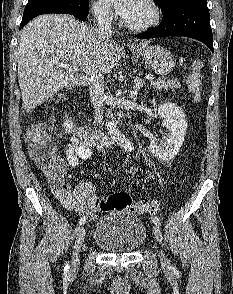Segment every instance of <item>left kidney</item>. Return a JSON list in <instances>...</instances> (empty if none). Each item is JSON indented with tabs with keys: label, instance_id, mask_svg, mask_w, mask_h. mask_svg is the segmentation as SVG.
Listing matches in <instances>:
<instances>
[{
	"label": "left kidney",
	"instance_id": "1",
	"mask_svg": "<svg viewBox=\"0 0 233 294\" xmlns=\"http://www.w3.org/2000/svg\"><path fill=\"white\" fill-rule=\"evenodd\" d=\"M158 114L164 120L163 127L168 129V135L163 142L152 139L149 148L160 160L169 161L175 158L184 142L187 121L183 111L175 103H163L158 107Z\"/></svg>",
	"mask_w": 233,
	"mask_h": 294
}]
</instances>
